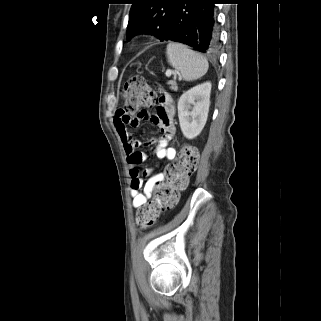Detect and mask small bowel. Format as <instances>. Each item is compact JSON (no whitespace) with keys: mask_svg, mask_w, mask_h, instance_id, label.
Wrapping results in <instances>:
<instances>
[{"mask_svg":"<svg viewBox=\"0 0 321 321\" xmlns=\"http://www.w3.org/2000/svg\"><path fill=\"white\" fill-rule=\"evenodd\" d=\"M175 112L173 99L165 93L161 94L158 99L155 114L151 115L146 110H141L136 114L124 112L123 109L116 112L113 123L122 141L130 167V194L135 208L146 204L157 186L163 183L165 176L163 173H153L152 169L141 173L139 166L147 159V155L138 150L140 142L131 136L129 128H136L141 121L150 120L160 129L161 134L151 138L148 145L154 146V154L158 159L174 160L177 152L174 147L169 146V143L174 139L176 133ZM143 175L149 176L146 182L143 180Z\"/></svg>","mask_w":321,"mask_h":321,"instance_id":"c3829d8e","label":"small bowel"}]
</instances>
